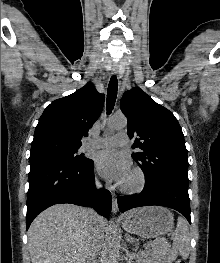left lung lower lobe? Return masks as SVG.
Segmentation results:
<instances>
[{
	"instance_id": "0a47b994",
	"label": "left lung lower lobe",
	"mask_w": 220,
	"mask_h": 263,
	"mask_svg": "<svg viewBox=\"0 0 220 263\" xmlns=\"http://www.w3.org/2000/svg\"><path fill=\"white\" fill-rule=\"evenodd\" d=\"M148 205L165 206L177 210L191 223L188 185L171 178H155L145 182L138 195L118 197L121 212Z\"/></svg>"
}]
</instances>
